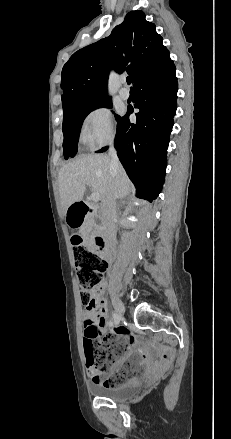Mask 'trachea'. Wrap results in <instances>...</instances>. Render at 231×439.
<instances>
[{"label":"trachea","instance_id":"trachea-1","mask_svg":"<svg viewBox=\"0 0 231 439\" xmlns=\"http://www.w3.org/2000/svg\"><path fill=\"white\" fill-rule=\"evenodd\" d=\"M126 82H127V84H131V78H130V77H127V78H126Z\"/></svg>","mask_w":231,"mask_h":439}]
</instances>
